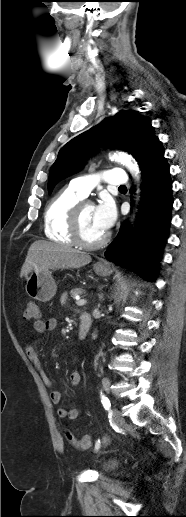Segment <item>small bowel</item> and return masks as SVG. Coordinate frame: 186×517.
I'll list each match as a JSON object with an SVG mask.
<instances>
[{
  "instance_id": "obj_1",
  "label": "small bowel",
  "mask_w": 186,
  "mask_h": 517,
  "mask_svg": "<svg viewBox=\"0 0 186 517\" xmlns=\"http://www.w3.org/2000/svg\"><path fill=\"white\" fill-rule=\"evenodd\" d=\"M66 300V297L63 296V301ZM34 330L38 334H42L44 332L54 331L57 327V321L54 318H49L46 320H37L34 322ZM39 341L38 338H35L27 347L26 354L27 357L38 367H40L39 356L36 350V344ZM42 380L47 388L51 390L50 397L52 402L55 405H59L60 407L57 410V414L60 418H69L76 419L80 415V410L77 408L67 409L61 406L64 403V397L60 390L54 389L53 382L51 378L43 371H41ZM81 380V375L79 371L75 370L70 375V383L74 386L78 385ZM91 446V445H90ZM89 446V447H90ZM88 447V448H89Z\"/></svg>"
}]
</instances>
